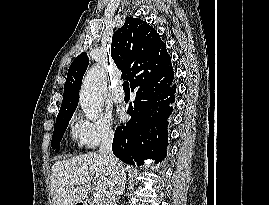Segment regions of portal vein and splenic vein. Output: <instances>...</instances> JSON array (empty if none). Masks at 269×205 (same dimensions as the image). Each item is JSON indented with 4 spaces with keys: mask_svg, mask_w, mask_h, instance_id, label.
Listing matches in <instances>:
<instances>
[{
    "mask_svg": "<svg viewBox=\"0 0 269 205\" xmlns=\"http://www.w3.org/2000/svg\"><path fill=\"white\" fill-rule=\"evenodd\" d=\"M91 182V178H80V179H75L72 181V184L75 185H80V184H85V183H90ZM93 202L97 205H99L102 201V195L100 193H96L93 195Z\"/></svg>",
    "mask_w": 269,
    "mask_h": 205,
    "instance_id": "1",
    "label": "portal vein and splenic vein"
}]
</instances>
